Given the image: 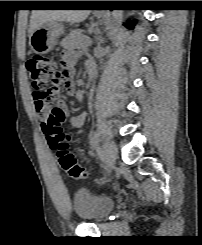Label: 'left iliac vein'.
Wrapping results in <instances>:
<instances>
[{"instance_id":"left-iliac-vein-1","label":"left iliac vein","mask_w":202,"mask_h":245,"mask_svg":"<svg viewBox=\"0 0 202 245\" xmlns=\"http://www.w3.org/2000/svg\"><path fill=\"white\" fill-rule=\"evenodd\" d=\"M117 155L118 150L116 145L106 138L101 148V158L109 170L115 166Z\"/></svg>"}]
</instances>
